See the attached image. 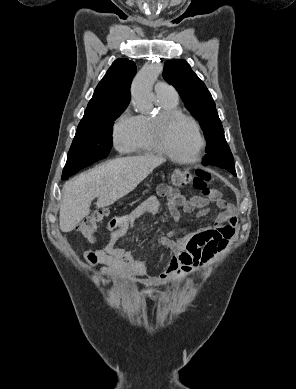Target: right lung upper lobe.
Returning <instances> with one entry per match:
<instances>
[{"label": "right lung upper lobe", "instance_id": "right-lung-upper-lobe-1", "mask_svg": "<svg viewBox=\"0 0 296 389\" xmlns=\"http://www.w3.org/2000/svg\"><path fill=\"white\" fill-rule=\"evenodd\" d=\"M136 74V65L128 59L114 61L95 89L84 117L88 118L114 108L127 107L130 101V85Z\"/></svg>", "mask_w": 296, "mask_h": 389}]
</instances>
